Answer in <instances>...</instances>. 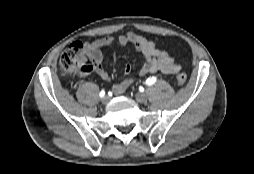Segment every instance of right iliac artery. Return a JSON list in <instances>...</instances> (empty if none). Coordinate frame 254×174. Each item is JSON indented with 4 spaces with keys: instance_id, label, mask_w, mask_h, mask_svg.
I'll use <instances>...</instances> for the list:
<instances>
[{
    "instance_id": "obj_1",
    "label": "right iliac artery",
    "mask_w": 254,
    "mask_h": 174,
    "mask_svg": "<svg viewBox=\"0 0 254 174\" xmlns=\"http://www.w3.org/2000/svg\"><path fill=\"white\" fill-rule=\"evenodd\" d=\"M104 95H105V91L102 90V91L100 92L99 96H100V97H103Z\"/></svg>"
}]
</instances>
